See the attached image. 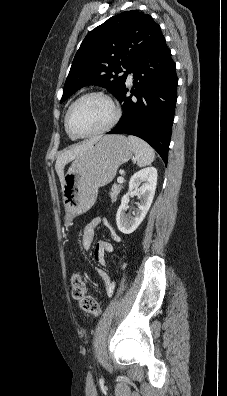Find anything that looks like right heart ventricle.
I'll return each instance as SVG.
<instances>
[{"mask_svg": "<svg viewBox=\"0 0 227 396\" xmlns=\"http://www.w3.org/2000/svg\"><path fill=\"white\" fill-rule=\"evenodd\" d=\"M65 129H66V127H65ZM66 132H67V130H66ZM67 134H68V136L71 138V139H76V138H74L73 136H71L68 132H67Z\"/></svg>", "mask_w": 227, "mask_h": 396, "instance_id": "1", "label": "right heart ventricle"}]
</instances>
